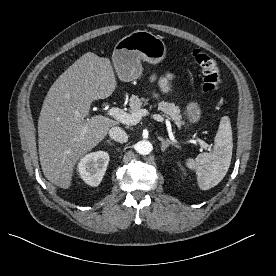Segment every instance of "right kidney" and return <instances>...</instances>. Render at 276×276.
I'll list each match as a JSON object with an SVG mask.
<instances>
[{"mask_svg":"<svg viewBox=\"0 0 276 276\" xmlns=\"http://www.w3.org/2000/svg\"><path fill=\"white\" fill-rule=\"evenodd\" d=\"M109 163V154L97 151L84 156L78 163L77 170L85 183L98 186L105 175Z\"/></svg>","mask_w":276,"mask_h":276,"instance_id":"ca27d5eb","label":"right kidney"}]
</instances>
